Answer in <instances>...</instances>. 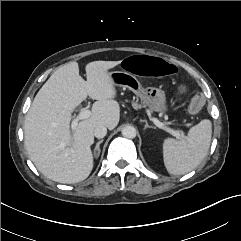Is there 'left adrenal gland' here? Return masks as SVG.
I'll return each instance as SVG.
<instances>
[{
    "mask_svg": "<svg viewBox=\"0 0 241 241\" xmlns=\"http://www.w3.org/2000/svg\"><path fill=\"white\" fill-rule=\"evenodd\" d=\"M141 121H142V122H145L144 130H146L147 128H153V129H155V127L148 125L147 120H141Z\"/></svg>",
    "mask_w": 241,
    "mask_h": 241,
    "instance_id": "left-adrenal-gland-1",
    "label": "left adrenal gland"
}]
</instances>
